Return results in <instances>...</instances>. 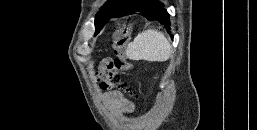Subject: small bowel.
<instances>
[{"label": "small bowel", "mask_w": 257, "mask_h": 130, "mask_svg": "<svg viewBox=\"0 0 257 130\" xmlns=\"http://www.w3.org/2000/svg\"><path fill=\"white\" fill-rule=\"evenodd\" d=\"M124 109L127 110V111H129V110H131V107H130V106H127V107H125Z\"/></svg>", "instance_id": "small-bowel-1"}]
</instances>
